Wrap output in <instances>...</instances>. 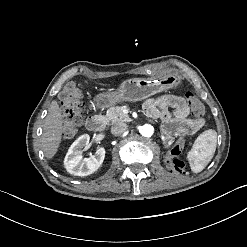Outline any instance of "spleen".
<instances>
[{"instance_id": "obj_1", "label": "spleen", "mask_w": 247, "mask_h": 247, "mask_svg": "<svg viewBox=\"0 0 247 247\" xmlns=\"http://www.w3.org/2000/svg\"><path fill=\"white\" fill-rule=\"evenodd\" d=\"M217 132L214 129H207L197 139V144L187 152L186 159L194 173L201 172L209 163L215 151ZM203 143V148L200 144Z\"/></svg>"}]
</instances>
